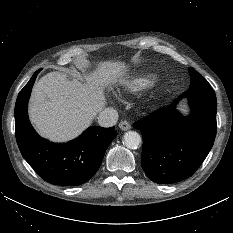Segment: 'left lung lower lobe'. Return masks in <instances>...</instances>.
<instances>
[{
	"instance_id": "0a47b994",
	"label": "left lung lower lobe",
	"mask_w": 233,
	"mask_h": 233,
	"mask_svg": "<svg viewBox=\"0 0 233 233\" xmlns=\"http://www.w3.org/2000/svg\"><path fill=\"white\" fill-rule=\"evenodd\" d=\"M188 98L191 114L181 117L175 107ZM216 95L211 88H190L165 108L134 124L141 130V165L159 184L176 183L192 176L210 152L216 135Z\"/></svg>"
}]
</instances>
